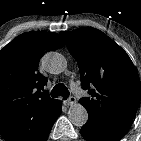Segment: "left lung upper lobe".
<instances>
[{
    "label": "left lung upper lobe",
    "mask_w": 141,
    "mask_h": 141,
    "mask_svg": "<svg viewBox=\"0 0 141 141\" xmlns=\"http://www.w3.org/2000/svg\"><path fill=\"white\" fill-rule=\"evenodd\" d=\"M60 34L78 62L82 87L95 86L90 97L79 101L88 114L132 122L140 102V80L127 53L92 27Z\"/></svg>",
    "instance_id": "obj_1"
}]
</instances>
